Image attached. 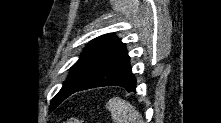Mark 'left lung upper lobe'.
<instances>
[{
	"label": "left lung upper lobe",
	"instance_id": "1",
	"mask_svg": "<svg viewBox=\"0 0 221 123\" xmlns=\"http://www.w3.org/2000/svg\"><path fill=\"white\" fill-rule=\"evenodd\" d=\"M126 52L125 45L112 33L92 40L79 60L71 67L70 75L55 96L51 109L57 107L88 79Z\"/></svg>",
	"mask_w": 221,
	"mask_h": 123
}]
</instances>
